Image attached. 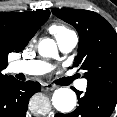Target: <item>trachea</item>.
I'll use <instances>...</instances> for the list:
<instances>
[{
	"label": "trachea",
	"instance_id": "1",
	"mask_svg": "<svg viewBox=\"0 0 117 117\" xmlns=\"http://www.w3.org/2000/svg\"><path fill=\"white\" fill-rule=\"evenodd\" d=\"M75 78H76L75 76H73V77H71V78H67V79H66V85L70 84L71 81L74 80Z\"/></svg>",
	"mask_w": 117,
	"mask_h": 117
}]
</instances>
